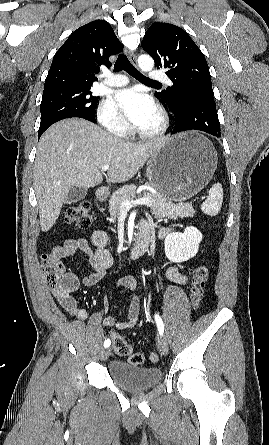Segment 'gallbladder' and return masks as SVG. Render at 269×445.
<instances>
[{"instance_id":"gallbladder-1","label":"gallbladder","mask_w":269,"mask_h":445,"mask_svg":"<svg viewBox=\"0 0 269 445\" xmlns=\"http://www.w3.org/2000/svg\"><path fill=\"white\" fill-rule=\"evenodd\" d=\"M87 192L88 190L86 188L73 186L67 193L65 203L66 204L76 203L85 198Z\"/></svg>"}]
</instances>
